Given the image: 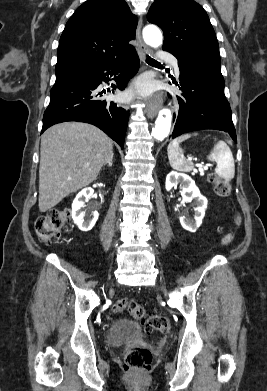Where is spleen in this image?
<instances>
[{
	"instance_id": "obj_1",
	"label": "spleen",
	"mask_w": 267,
	"mask_h": 391,
	"mask_svg": "<svg viewBox=\"0 0 267 391\" xmlns=\"http://www.w3.org/2000/svg\"><path fill=\"white\" fill-rule=\"evenodd\" d=\"M196 136L197 133H194ZM191 137V134H184L175 138L168 145L167 154L171 167L180 172L193 170V163L184 157L180 143ZM216 140V139H215ZM208 159L217 162L215 172L226 181H231L235 175V164L232 152L224 141H218L211 151Z\"/></svg>"
}]
</instances>
